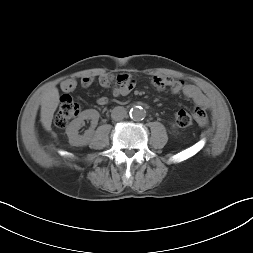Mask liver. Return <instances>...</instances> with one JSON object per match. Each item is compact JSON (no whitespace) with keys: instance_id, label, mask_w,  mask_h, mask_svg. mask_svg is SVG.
<instances>
[{"instance_id":"obj_1","label":"liver","mask_w":253,"mask_h":253,"mask_svg":"<svg viewBox=\"0 0 253 253\" xmlns=\"http://www.w3.org/2000/svg\"><path fill=\"white\" fill-rule=\"evenodd\" d=\"M59 104V92L56 87L49 88L42 95L41 99V123L45 130L51 132V124L54 112ZM52 135L56 137V134L52 132Z\"/></svg>"}]
</instances>
